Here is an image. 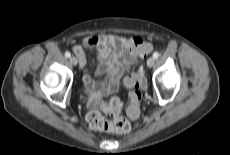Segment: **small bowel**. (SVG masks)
Returning a JSON list of instances; mask_svg holds the SVG:
<instances>
[{
    "label": "small bowel",
    "mask_w": 230,
    "mask_h": 155,
    "mask_svg": "<svg viewBox=\"0 0 230 155\" xmlns=\"http://www.w3.org/2000/svg\"><path fill=\"white\" fill-rule=\"evenodd\" d=\"M134 38H125L114 34H100L88 36L83 39L82 44L74 45L72 50L78 58L79 67L83 69L82 80L89 94V106L99 108L106 113L117 114L109 108L107 101H101L100 96L106 93L115 92L120 87L123 76L128 72L135 61V53L130 51ZM96 51L99 65L96 69V76H105V81L93 78L85 69L87 64L86 53ZM126 87H130L127 76L123 81Z\"/></svg>",
    "instance_id": "1"
}]
</instances>
